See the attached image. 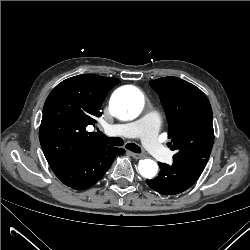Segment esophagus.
Returning a JSON list of instances; mask_svg holds the SVG:
<instances>
[{"mask_svg": "<svg viewBox=\"0 0 250 250\" xmlns=\"http://www.w3.org/2000/svg\"><path fill=\"white\" fill-rule=\"evenodd\" d=\"M129 154L135 158V159H141L143 158V155L142 154H138V153H134V152H129Z\"/></svg>", "mask_w": 250, "mask_h": 250, "instance_id": "esophagus-1", "label": "esophagus"}]
</instances>
